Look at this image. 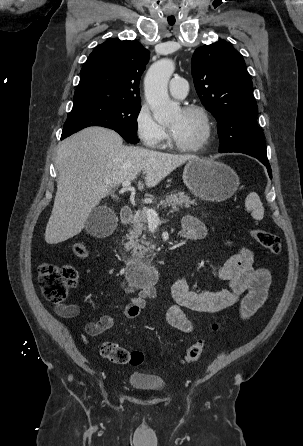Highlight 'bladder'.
Returning a JSON list of instances; mask_svg holds the SVG:
<instances>
[{"label": "bladder", "mask_w": 303, "mask_h": 446, "mask_svg": "<svg viewBox=\"0 0 303 446\" xmlns=\"http://www.w3.org/2000/svg\"><path fill=\"white\" fill-rule=\"evenodd\" d=\"M129 385L137 390L161 392L167 388L165 380L144 372H134L129 377Z\"/></svg>", "instance_id": "1"}]
</instances>
